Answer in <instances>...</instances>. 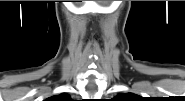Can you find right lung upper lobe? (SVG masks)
Returning <instances> with one entry per match:
<instances>
[{
	"instance_id": "right-lung-upper-lobe-1",
	"label": "right lung upper lobe",
	"mask_w": 185,
	"mask_h": 101,
	"mask_svg": "<svg viewBox=\"0 0 185 101\" xmlns=\"http://www.w3.org/2000/svg\"><path fill=\"white\" fill-rule=\"evenodd\" d=\"M48 100L50 101H71V97L66 93H62L60 95L52 96Z\"/></svg>"
}]
</instances>
